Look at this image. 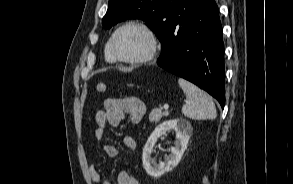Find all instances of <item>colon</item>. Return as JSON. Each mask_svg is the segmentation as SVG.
I'll use <instances>...</instances> for the list:
<instances>
[{"instance_id": "1", "label": "colon", "mask_w": 293, "mask_h": 184, "mask_svg": "<svg viewBox=\"0 0 293 184\" xmlns=\"http://www.w3.org/2000/svg\"><path fill=\"white\" fill-rule=\"evenodd\" d=\"M98 93H105L107 91V85L105 83L99 82L95 87Z\"/></svg>"}]
</instances>
